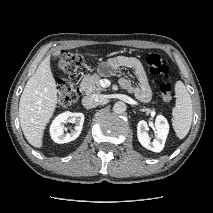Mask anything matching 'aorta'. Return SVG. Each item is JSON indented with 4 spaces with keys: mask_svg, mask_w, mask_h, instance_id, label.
Returning a JSON list of instances; mask_svg holds the SVG:
<instances>
[{
    "mask_svg": "<svg viewBox=\"0 0 213 213\" xmlns=\"http://www.w3.org/2000/svg\"><path fill=\"white\" fill-rule=\"evenodd\" d=\"M113 111L116 114H122L126 111V104L122 101H118L113 106Z\"/></svg>",
    "mask_w": 213,
    "mask_h": 213,
    "instance_id": "aorta-1",
    "label": "aorta"
}]
</instances>
